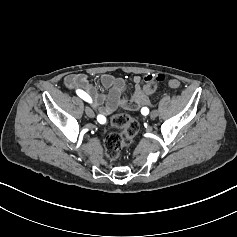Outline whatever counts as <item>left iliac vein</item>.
<instances>
[{
	"instance_id": "4c4485c4",
	"label": "left iliac vein",
	"mask_w": 237,
	"mask_h": 237,
	"mask_svg": "<svg viewBox=\"0 0 237 237\" xmlns=\"http://www.w3.org/2000/svg\"><path fill=\"white\" fill-rule=\"evenodd\" d=\"M158 115V111L157 110H153L151 113H150V117L151 118H156Z\"/></svg>"
}]
</instances>
